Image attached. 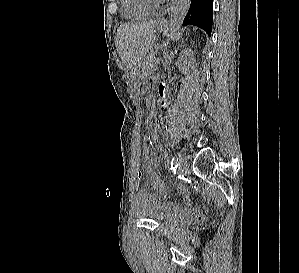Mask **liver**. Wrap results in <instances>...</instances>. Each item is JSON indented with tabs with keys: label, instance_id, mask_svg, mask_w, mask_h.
I'll return each instance as SVG.
<instances>
[{
	"label": "liver",
	"instance_id": "liver-1",
	"mask_svg": "<svg viewBox=\"0 0 299 273\" xmlns=\"http://www.w3.org/2000/svg\"><path fill=\"white\" fill-rule=\"evenodd\" d=\"M158 22H128L120 25L115 36L117 52L132 78L139 74L141 63L156 39Z\"/></svg>",
	"mask_w": 299,
	"mask_h": 273
}]
</instances>
